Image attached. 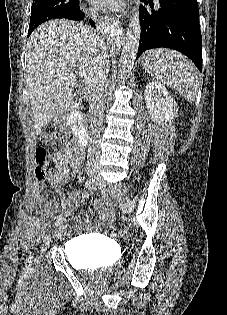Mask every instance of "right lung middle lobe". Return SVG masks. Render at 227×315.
Masks as SVG:
<instances>
[{"mask_svg": "<svg viewBox=\"0 0 227 315\" xmlns=\"http://www.w3.org/2000/svg\"><path fill=\"white\" fill-rule=\"evenodd\" d=\"M79 0H33L28 36L41 23L55 18H67Z\"/></svg>", "mask_w": 227, "mask_h": 315, "instance_id": "obj_1", "label": "right lung middle lobe"}]
</instances>
